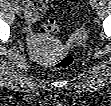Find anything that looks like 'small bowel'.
Listing matches in <instances>:
<instances>
[{
    "mask_svg": "<svg viewBox=\"0 0 111 106\" xmlns=\"http://www.w3.org/2000/svg\"><path fill=\"white\" fill-rule=\"evenodd\" d=\"M46 1L43 0H26L24 1V7L26 11V20L29 24L28 34L31 38H34L35 35L31 29V26L37 21V19L44 13L46 10Z\"/></svg>",
    "mask_w": 111,
    "mask_h": 106,
    "instance_id": "small-bowel-1",
    "label": "small bowel"
}]
</instances>
